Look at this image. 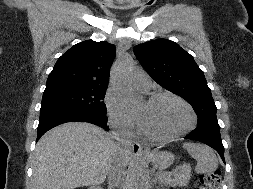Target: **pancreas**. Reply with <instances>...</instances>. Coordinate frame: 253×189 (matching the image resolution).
Listing matches in <instances>:
<instances>
[{
  "label": "pancreas",
  "instance_id": "obj_1",
  "mask_svg": "<svg viewBox=\"0 0 253 189\" xmlns=\"http://www.w3.org/2000/svg\"><path fill=\"white\" fill-rule=\"evenodd\" d=\"M191 177V170L181 169L177 172H159V179L162 183L170 186H186Z\"/></svg>",
  "mask_w": 253,
  "mask_h": 189
}]
</instances>
